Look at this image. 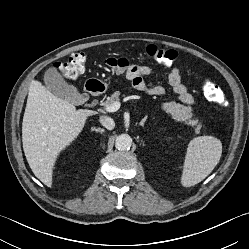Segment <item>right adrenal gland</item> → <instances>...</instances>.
I'll return each instance as SVG.
<instances>
[{"label":"right adrenal gland","mask_w":249,"mask_h":249,"mask_svg":"<svg viewBox=\"0 0 249 249\" xmlns=\"http://www.w3.org/2000/svg\"><path fill=\"white\" fill-rule=\"evenodd\" d=\"M92 131H95L96 133L102 134L104 132V129H102V128H92Z\"/></svg>","instance_id":"2a0ac1e0"}]
</instances>
